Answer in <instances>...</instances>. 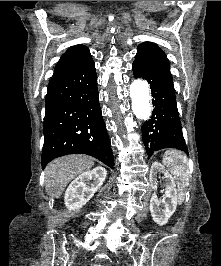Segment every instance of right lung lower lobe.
<instances>
[{"instance_id":"obj_1","label":"right lung lower lobe","mask_w":221,"mask_h":266,"mask_svg":"<svg viewBox=\"0 0 221 266\" xmlns=\"http://www.w3.org/2000/svg\"><path fill=\"white\" fill-rule=\"evenodd\" d=\"M41 164L68 154H88L113 168V152L98 99L95 64L51 78L46 95Z\"/></svg>"}]
</instances>
